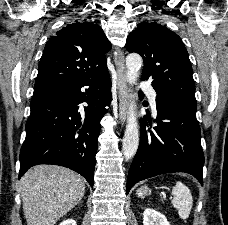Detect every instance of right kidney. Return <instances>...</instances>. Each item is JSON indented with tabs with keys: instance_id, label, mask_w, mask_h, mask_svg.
I'll use <instances>...</instances> for the list:
<instances>
[{
	"instance_id": "ca27d5eb",
	"label": "right kidney",
	"mask_w": 228,
	"mask_h": 225,
	"mask_svg": "<svg viewBox=\"0 0 228 225\" xmlns=\"http://www.w3.org/2000/svg\"><path fill=\"white\" fill-rule=\"evenodd\" d=\"M60 225H76V221H73V219H66V221H63Z\"/></svg>"
}]
</instances>
